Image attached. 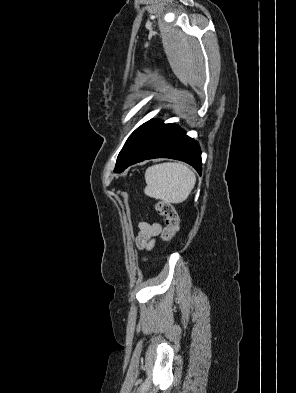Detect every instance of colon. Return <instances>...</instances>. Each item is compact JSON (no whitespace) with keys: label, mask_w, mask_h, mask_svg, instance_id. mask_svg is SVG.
Here are the masks:
<instances>
[{"label":"colon","mask_w":296,"mask_h":393,"mask_svg":"<svg viewBox=\"0 0 296 393\" xmlns=\"http://www.w3.org/2000/svg\"><path fill=\"white\" fill-rule=\"evenodd\" d=\"M157 214L165 218V227L162 238L165 242H171L178 230L179 217L174 206L166 201H158L155 204Z\"/></svg>","instance_id":"1"}]
</instances>
